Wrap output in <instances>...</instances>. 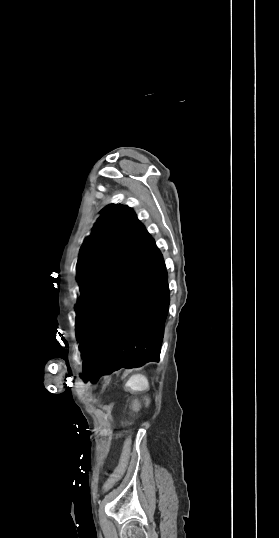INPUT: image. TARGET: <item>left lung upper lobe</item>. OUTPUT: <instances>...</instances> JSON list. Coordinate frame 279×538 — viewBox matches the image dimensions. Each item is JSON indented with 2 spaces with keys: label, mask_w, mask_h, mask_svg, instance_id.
<instances>
[{
  "label": "left lung upper lobe",
  "mask_w": 279,
  "mask_h": 538,
  "mask_svg": "<svg viewBox=\"0 0 279 538\" xmlns=\"http://www.w3.org/2000/svg\"><path fill=\"white\" fill-rule=\"evenodd\" d=\"M102 213L80 249L77 270L81 296L76 306V322L148 236L144 225L129 207L110 205Z\"/></svg>",
  "instance_id": "5c2ea615"
}]
</instances>
